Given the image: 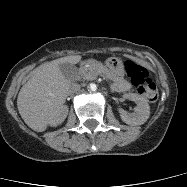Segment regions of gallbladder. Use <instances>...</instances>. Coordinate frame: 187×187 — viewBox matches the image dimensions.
I'll list each match as a JSON object with an SVG mask.
<instances>
[{
  "instance_id": "obj_1",
  "label": "gallbladder",
  "mask_w": 187,
  "mask_h": 187,
  "mask_svg": "<svg viewBox=\"0 0 187 187\" xmlns=\"http://www.w3.org/2000/svg\"><path fill=\"white\" fill-rule=\"evenodd\" d=\"M59 68L66 78H70L75 72V67L71 63H61Z\"/></svg>"
}]
</instances>
